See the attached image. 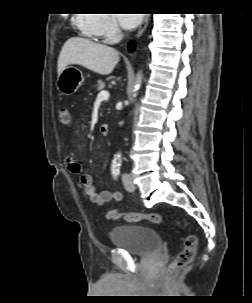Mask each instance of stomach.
Here are the masks:
<instances>
[{
	"mask_svg": "<svg viewBox=\"0 0 252 303\" xmlns=\"http://www.w3.org/2000/svg\"><path fill=\"white\" fill-rule=\"evenodd\" d=\"M83 81L84 76L80 69L67 66L62 73L58 75L56 86L61 94L69 96L77 91Z\"/></svg>",
	"mask_w": 252,
	"mask_h": 303,
	"instance_id": "stomach-1",
	"label": "stomach"
}]
</instances>
